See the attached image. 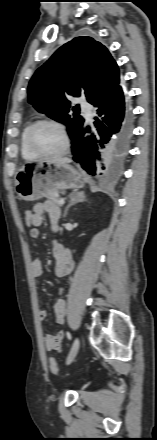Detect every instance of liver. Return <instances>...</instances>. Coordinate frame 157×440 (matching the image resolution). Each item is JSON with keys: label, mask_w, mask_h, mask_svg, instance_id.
<instances>
[{"label": "liver", "mask_w": 157, "mask_h": 440, "mask_svg": "<svg viewBox=\"0 0 157 440\" xmlns=\"http://www.w3.org/2000/svg\"><path fill=\"white\" fill-rule=\"evenodd\" d=\"M48 161L52 162V163H70L71 159L67 158V157H63V158H53V159H49Z\"/></svg>", "instance_id": "1"}]
</instances>
